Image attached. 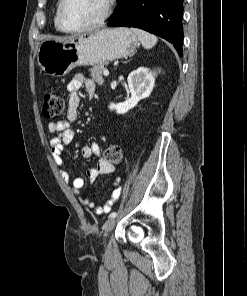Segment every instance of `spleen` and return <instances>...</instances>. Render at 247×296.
<instances>
[{
	"label": "spleen",
	"instance_id": "1",
	"mask_svg": "<svg viewBox=\"0 0 247 296\" xmlns=\"http://www.w3.org/2000/svg\"><path fill=\"white\" fill-rule=\"evenodd\" d=\"M141 42L144 49H151L157 43V37L144 30L132 28L130 29Z\"/></svg>",
	"mask_w": 247,
	"mask_h": 296
}]
</instances>
